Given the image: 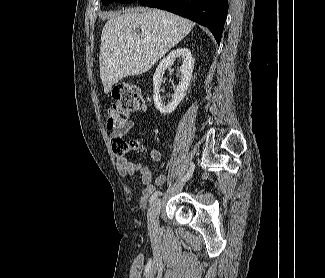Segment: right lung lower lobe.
I'll return each instance as SVG.
<instances>
[{
	"mask_svg": "<svg viewBox=\"0 0 325 278\" xmlns=\"http://www.w3.org/2000/svg\"><path fill=\"white\" fill-rule=\"evenodd\" d=\"M142 5L164 9L207 27L220 43L228 0H137Z\"/></svg>",
	"mask_w": 325,
	"mask_h": 278,
	"instance_id": "right-lung-lower-lobe-1",
	"label": "right lung lower lobe"
}]
</instances>
